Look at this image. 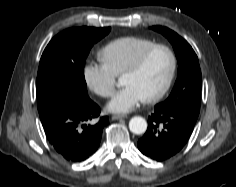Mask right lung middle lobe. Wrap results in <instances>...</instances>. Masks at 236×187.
I'll use <instances>...</instances> for the list:
<instances>
[{
	"instance_id": "1",
	"label": "right lung middle lobe",
	"mask_w": 236,
	"mask_h": 187,
	"mask_svg": "<svg viewBox=\"0 0 236 187\" xmlns=\"http://www.w3.org/2000/svg\"><path fill=\"white\" fill-rule=\"evenodd\" d=\"M111 28L78 27L56 35L45 48L36 80L38 111L44 121L62 100L87 97L84 65L94 43Z\"/></svg>"
}]
</instances>
